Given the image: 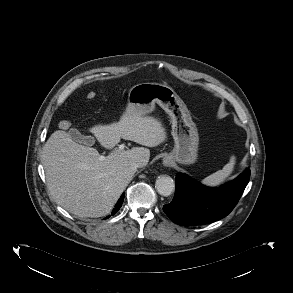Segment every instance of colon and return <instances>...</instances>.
Listing matches in <instances>:
<instances>
[{"label": "colon", "mask_w": 293, "mask_h": 293, "mask_svg": "<svg viewBox=\"0 0 293 293\" xmlns=\"http://www.w3.org/2000/svg\"><path fill=\"white\" fill-rule=\"evenodd\" d=\"M95 96H96V93L93 91L88 92L86 95L88 100H93L95 98ZM70 126H71V123L67 120H64L60 123V128L64 129V130L69 129Z\"/></svg>", "instance_id": "obj_1"}]
</instances>
